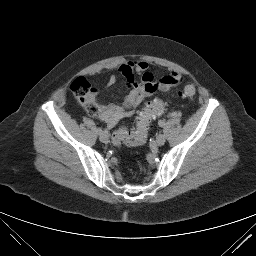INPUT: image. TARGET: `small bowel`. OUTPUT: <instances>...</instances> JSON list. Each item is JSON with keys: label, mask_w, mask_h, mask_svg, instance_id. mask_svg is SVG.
Returning a JSON list of instances; mask_svg holds the SVG:
<instances>
[{"label": "small bowel", "mask_w": 256, "mask_h": 256, "mask_svg": "<svg viewBox=\"0 0 256 256\" xmlns=\"http://www.w3.org/2000/svg\"><path fill=\"white\" fill-rule=\"evenodd\" d=\"M119 71L128 88L123 103L121 105L103 104L99 106V116L109 128L115 127L120 120L131 117L134 109L148 96L157 91H169L182 81V76L175 71L156 79L144 61L126 62L120 66ZM136 76H139L140 79L138 80ZM115 83L116 77L111 76L107 86L111 87Z\"/></svg>", "instance_id": "c3829d8e"}]
</instances>
